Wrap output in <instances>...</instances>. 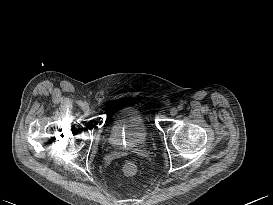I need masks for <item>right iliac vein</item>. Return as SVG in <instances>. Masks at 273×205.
Returning <instances> with one entry per match:
<instances>
[{
    "label": "right iliac vein",
    "mask_w": 273,
    "mask_h": 205,
    "mask_svg": "<svg viewBox=\"0 0 273 205\" xmlns=\"http://www.w3.org/2000/svg\"><path fill=\"white\" fill-rule=\"evenodd\" d=\"M82 110H83L84 112L89 111V105H88V103H83V104H82Z\"/></svg>",
    "instance_id": "1"
}]
</instances>
